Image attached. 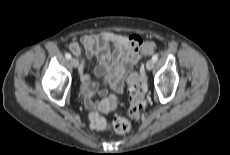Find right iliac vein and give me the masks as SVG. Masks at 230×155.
I'll return each instance as SVG.
<instances>
[{"instance_id": "1", "label": "right iliac vein", "mask_w": 230, "mask_h": 155, "mask_svg": "<svg viewBox=\"0 0 230 155\" xmlns=\"http://www.w3.org/2000/svg\"><path fill=\"white\" fill-rule=\"evenodd\" d=\"M70 63L75 68L78 67V65H79V62H78V60L76 58H71Z\"/></svg>"}]
</instances>
